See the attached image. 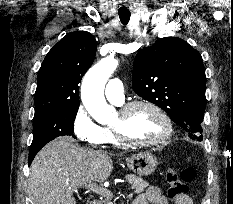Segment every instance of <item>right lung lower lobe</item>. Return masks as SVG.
Returning <instances> with one entry per match:
<instances>
[{"label": "right lung lower lobe", "instance_id": "obj_1", "mask_svg": "<svg viewBox=\"0 0 233 204\" xmlns=\"http://www.w3.org/2000/svg\"><path fill=\"white\" fill-rule=\"evenodd\" d=\"M42 147L39 148H32L30 147V151H29V165L31 164V162L33 161L35 155L37 154V152L41 149Z\"/></svg>", "mask_w": 233, "mask_h": 204}]
</instances>
